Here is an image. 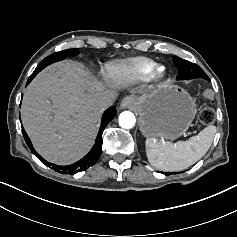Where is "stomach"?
Listing matches in <instances>:
<instances>
[{
	"mask_svg": "<svg viewBox=\"0 0 237 237\" xmlns=\"http://www.w3.org/2000/svg\"><path fill=\"white\" fill-rule=\"evenodd\" d=\"M132 98L140 131L147 137L177 139L186 133L196 116L195 102L188 92L170 82L150 91L141 88Z\"/></svg>",
	"mask_w": 237,
	"mask_h": 237,
	"instance_id": "1",
	"label": "stomach"
}]
</instances>
